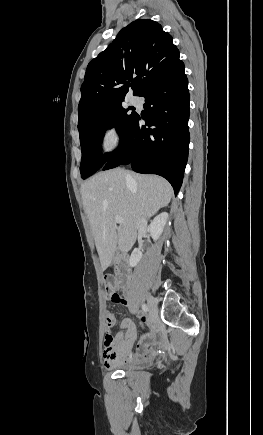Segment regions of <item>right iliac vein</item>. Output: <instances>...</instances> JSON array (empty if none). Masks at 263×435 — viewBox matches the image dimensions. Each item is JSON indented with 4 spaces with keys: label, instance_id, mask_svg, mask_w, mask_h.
Wrapping results in <instances>:
<instances>
[{
    "label": "right iliac vein",
    "instance_id": "63e3f726",
    "mask_svg": "<svg viewBox=\"0 0 263 435\" xmlns=\"http://www.w3.org/2000/svg\"><path fill=\"white\" fill-rule=\"evenodd\" d=\"M148 306L150 311L149 319L150 322H153L157 316L158 308H157V302L152 296L148 298Z\"/></svg>",
    "mask_w": 263,
    "mask_h": 435
}]
</instances>
